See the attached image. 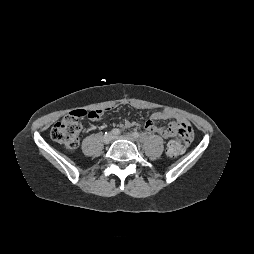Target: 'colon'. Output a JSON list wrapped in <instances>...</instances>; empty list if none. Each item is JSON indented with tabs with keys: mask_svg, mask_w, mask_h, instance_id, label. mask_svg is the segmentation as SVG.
I'll return each instance as SVG.
<instances>
[{
	"mask_svg": "<svg viewBox=\"0 0 254 254\" xmlns=\"http://www.w3.org/2000/svg\"><path fill=\"white\" fill-rule=\"evenodd\" d=\"M100 110L87 112L76 110L58 121L51 129V137L54 141L62 144L66 149L73 150L79 144V136L82 130L81 120L99 118ZM178 139L171 141L167 147V154L175 157L182 153L184 141L188 143L192 138V129L189 125H179L177 128Z\"/></svg>",
	"mask_w": 254,
	"mask_h": 254,
	"instance_id": "colon-1",
	"label": "colon"
}]
</instances>
